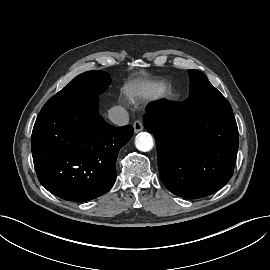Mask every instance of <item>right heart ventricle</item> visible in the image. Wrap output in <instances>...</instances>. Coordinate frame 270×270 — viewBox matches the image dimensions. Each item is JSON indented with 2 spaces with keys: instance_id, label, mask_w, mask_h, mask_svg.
I'll return each instance as SVG.
<instances>
[{
  "instance_id": "right-heart-ventricle-1",
  "label": "right heart ventricle",
  "mask_w": 270,
  "mask_h": 270,
  "mask_svg": "<svg viewBox=\"0 0 270 270\" xmlns=\"http://www.w3.org/2000/svg\"><path fill=\"white\" fill-rule=\"evenodd\" d=\"M147 96L146 93H141V94H137L133 97V99L135 100H141V99H144L145 97Z\"/></svg>"
}]
</instances>
